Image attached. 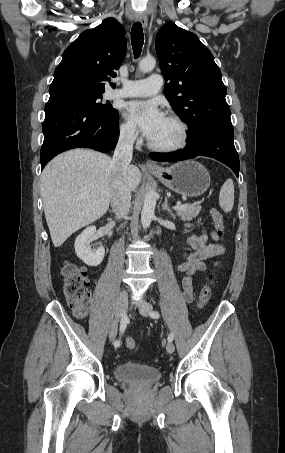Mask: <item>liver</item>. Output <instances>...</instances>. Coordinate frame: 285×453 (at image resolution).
<instances>
[{
  "label": "liver",
  "mask_w": 285,
  "mask_h": 453,
  "mask_svg": "<svg viewBox=\"0 0 285 453\" xmlns=\"http://www.w3.org/2000/svg\"><path fill=\"white\" fill-rule=\"evenodd\" d=\"M109 156L74 149L55 157L41 174L45 218L55 247H60L77 230L102 217L109 208L115 168ZM134 191L141 182L138 167L125 174Z\"/></svg>",
  "instance_id": "6515ba94"
}]
</instances>
